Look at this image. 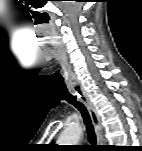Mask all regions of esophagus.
Instances as JSON below:
<instances>
[{
  "label": "esophagus",
  "mask_w": 142,
  "mask_h": 151,
  "mask_svg": "<svg viewBox=\"0 0 142 151\" xmlns=\"http://www.w3.org/2000/svg\"><path fill=\"white\" fill-rule=\"evenodd\" d=\"M74 94L79 97V99L84 103L86 106L90 117L92 119L95 131L97 133V140L98 143H102V127H101V120L97 113V110L95 106L92 104V102L89 100L86 92L81 86H76L74 89Z\"/></svg>",
  "instance_id": "1"
}]
</instances>
